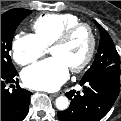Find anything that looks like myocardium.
Returning <instances> with one entry per match:
<instances>
[{
    "mask_svg": "<svg viewBox=\"0 0 121 121\" xmlns=\"http://www.w3.org/2000/svg\"><path fill=\"white\" fill-rule=\"evenodd\" d=\"M86 30L88 37H89V47L87 50V53L84 57V59L77 65L71 67V71L72 72H81L82 70H84L87 65L91 62L94 53H95V49H96V35L95 32L93 30V28L91 27V25H89L88 23L85 22H80L77 23L75 25L70 26L69 28H67L53 43H52V47L54 46H58V45H63L65 43H67L78 31L80 30Z\"/></svg>",
    "mask_w": 121,
    "mask_h": 121,
    "instance_id": "obj_1",
    "label": "myocardium"
}]
</instances>
